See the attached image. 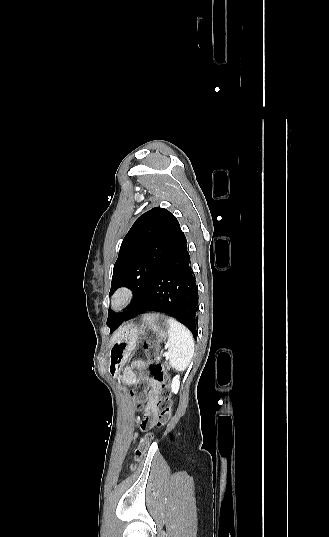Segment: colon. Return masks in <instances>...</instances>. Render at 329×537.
I'll return each mask as SVG.
<instances>
[{
    "instance_id": "1",
    "label": "colon",
    "mask_w": 329,
    "mask_h": 537,
    "mask_svg": "<svg viewBox=\"0 0 329 537\" xmlns=\"http://www.w3.org/2000/svg\"><path fill=\"white\" fill-rule=\"evenodd\" d=\"M145 351L147 358L150 361V372L155 379L160 382V387L157 393V410L158 415L155 422L151 423L148 420H144L140 423V428L145 432L144 436L141 438L136 450L134 461L135 464L138 463L143 455L146 453L150 441L153 438L152 432L150 429L152 426L161 427L164 426L168 420L171 418L172 413V402L170 398V389H169V376L164 368V366L158 362L159 356V347L154 341L145 342ZM148 389V383L145 378H140L136 382V391L133 392V401L136 409H141L147 399L146 391Z\"/></svg>"
}]
</instances>
